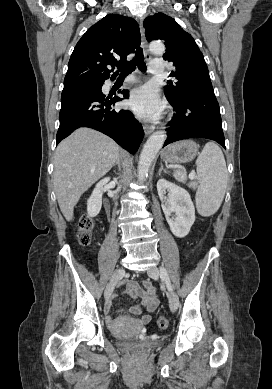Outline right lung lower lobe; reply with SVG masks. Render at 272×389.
Listing matches in <instances>:
<instances>
[{
    "label": "right lung lower lobe",
    "instance_id": "right-lung-lower-lobe-1",
    "mask_svg": "<svg viewBox=\"0 0 272 389\" xmlns=\"http://www.w3.org/2000/svg\"><path fill=\"white\" fill-rule=\"evenodd\" d=\"M119 93L123 94L125 99L129 97L127 90ZM120 100L122 98L113 94H103L102 86L64 87L61 95L57 144L76 128L90 127L110 136L124 149L135 154L144 131L130 111L113 109L114 103Z\"/></svg>",
    "mask_w": 272,
    "mask_h": 389
}]
</instances>
